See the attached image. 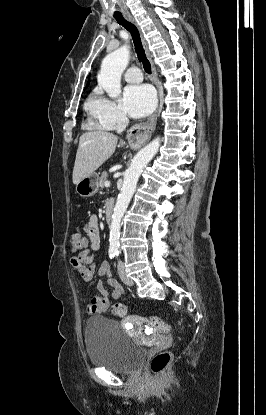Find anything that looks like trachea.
<instances>
[{"mask_svg": "<svg viewBox=\"0 0 266 415\" xmlns=\"http://www.w3.org/2000/svg\"><path fill=\"white\" fill-rule=\"evenodd\" d=\"M114 18L116 19V21L120 25H122L125 29H127L130 32V34L133 38V42H134V45H135V50H136L137 56H138L139 60L142 62L144 70L148 74H150L151 73V65H150V62H149V60L147 59V57L145 55V51L143 49L140 34H139V31H138L137 27L133 23L127 21L121 14L114 15Z\"/></svg>", "mask_w": 266, "mask_h": 415, "instance_id": "3493384b", "label": "trachea"}]
</instances>
